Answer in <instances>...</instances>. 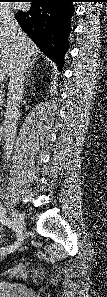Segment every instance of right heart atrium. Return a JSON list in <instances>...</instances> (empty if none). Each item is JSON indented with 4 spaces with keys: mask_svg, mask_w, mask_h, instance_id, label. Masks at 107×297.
Masks as SVG:
<instances>
[{
    "mask_svg": "<svg viewBox=\"0 0 107 297\" xmlns=\"http://www.w3.org/2000/svg\"><path fill=\"white\" fill-rule=\"evenodd\" d=\"M10 10L8 7H0V15L2 18H7L9 17Z\"/></svg>",
    "mask_w": 107,
    "mask_h": 297,
    "instance_id": "obj_1",
    "label": "right heart atrium"
}]
</instances>
